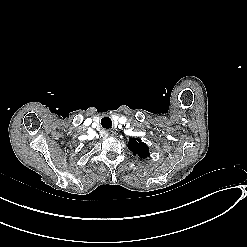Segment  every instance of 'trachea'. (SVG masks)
I'll use <instances>...</instances> for the list:
<instances>
[{
	"instance_id": "obj_1",
	"label": "trachea",
	"mask_w": 247,
	"mask_h": 247,
	"mask_svg": "<svg viewBox=\"0 0 247 247\" xmlns=\"http://www.w3.org/2000/svg\"><path fill=\"white\" fill-rule=\"evenodd\" d=\"M105 119H107V118H103L102 121H101L102 126H103L104 128H110L111 126H108L109 123H108V125L103 124L104 121H105Z\"/></svg>"
}]
</instances>
